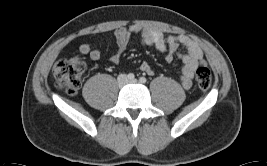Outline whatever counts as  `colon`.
<instances>
[{
  "label": "colon",
  "mask_w": 267,
  "mask_h": 166,
  "mask_svg": "<svg viewBox=\"0 0 267 166\" xmlns=\"http://www.w3.org/2000/svg\"><path fill=\"white\" fill-rule=\"evenodd\" d=\"M85 62L80 58H71L58 62L53 70L55 87L68 95H75L79 89L85 70ZM198 87L207 91L212 85V76L208 68L201 67L197 71Z\"/></svg>",
  "instance_id": "1"
}]
</instances>
